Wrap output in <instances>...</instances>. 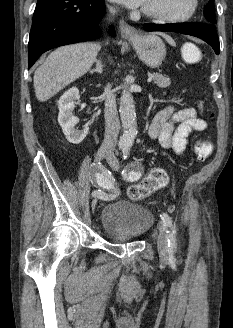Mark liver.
<instances>
[{
    "label": "liver",
    "instance_id": "liver-1",
    "mask_svg": "<svg viewBox=\"0 0 233 328\" xmlns=\"http://www.w3.org/2000/svg\"><path fill=\"white\" fill-rule=\"evenodd\" d=\"M101 46L78 43L59 47L48 55L34 73V89L39 101H46L84 75L93 65Z\"/></svg>",
    "mask_w": 233,
    "mask_h": 328
}]
</instances>
